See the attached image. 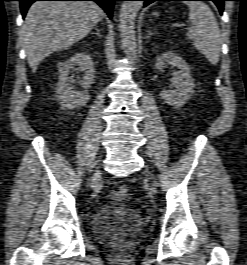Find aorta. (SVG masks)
Returning <instances> with one entry per match:
<instances>
[{"mask_svg":"<svg viewBox=\"0 0 247 265\" xmlns=\"http://www.w3.org/2000/svg\"><path fill=\"white\" fill-rule=\"evenodd\" d=\"M142 6L141 1H124L119 16V31L124 51L131 62L137 57L135 18Z\"/></svg>","mask_w":247,"mask_h":265,"instance_id":"aorta-1","label":"aorta"}]
</instances>
